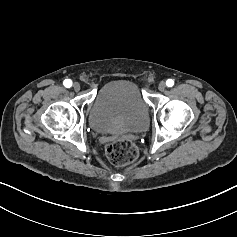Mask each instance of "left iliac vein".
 I'll return each instance as SVG.
<instances>
[{
	"label": "left iliac vein",
	"instance_id": "obj_1",
	"mask_svg": "<svg viewBox=\"0 0 237 237\" xmlns=\"http://www.w3.org/2000/svg\"><path fill=\"white\" fill-rule=\"evenodd\" d=\"M165 88H166L165 82H160L159 85H158V89H159L160 91H164Z\"/></svg>",
	"mask_w": 237,
	"mask_h": 237
}]
</instances>
